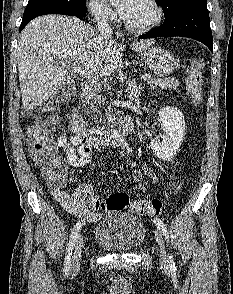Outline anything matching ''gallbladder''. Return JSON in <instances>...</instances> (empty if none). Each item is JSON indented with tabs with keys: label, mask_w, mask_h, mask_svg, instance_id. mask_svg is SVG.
Returning a JSON list of instances; mask_svg holds the SVG:
<instances>
[{
	"label": "gallbladder",
	"mask_w": 233,
	"mask_h": 294,
	"mask_svg": "<svg viewBox=\"0 0 233 294\" xmlns=\"http://www.w3.org/2000/svg\"><path fill=\"white\" fill-rule=\"evenodd\" d=\"M68 93H69V91L66 87H64V86L59 87L55 91L53 96L50 98L49 103L53 105L55 103L63 101L68 96Z\"/></svg>",
	"instance_id": "obj_1"
}]
</instances>
